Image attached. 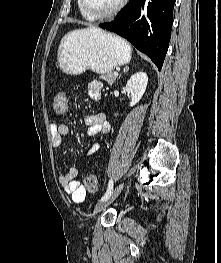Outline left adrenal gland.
<instances>
[{
  "label": "left adrenal gland",
  "instance_id": "obj_1",
  "mask_svg": "<svg viewBox=\"0 0 221 263\" xmlns=\"http://www.w3.org/2000/svg\"><path fill=\"white\" fill-rule=\"evenodd\" d=\"M128 70H129V68L126 67V68L123 69V72H127Z\"/></svg>",
  "mask_w": 221,
  "mask_h": 263
}]
</instances>
